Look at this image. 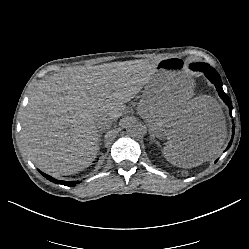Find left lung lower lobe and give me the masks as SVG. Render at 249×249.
I'll return each instance as SVG.
<instances>
[{
	"label": "left lung lower lobe",
	"instance_id": "1",
	"mask_svg": "<svg viewBox=\"0 0 249 249\" xmlns=\"http://www.w3.org/2000/svg\"><path fill=\"white\" fill-rule=\"evenodd\" d=\"M197 69H199L198 71L204 72L205 76L215 85V87H216V89H217V91L219 93V96L228 105L230 115H231L232 105H231L229 97L227 96V94L222 89V81L220 79V76H219L218 72L209 65L208 66H203V67H198ZM234 131H235V129L233 127L232 128V139H233V136H234ZM232 139L230 140V142L228 144V148L232 144Z\"/></svg>",
	"mask_w": 249,
	"mask_h": 249
}]
</instances>
